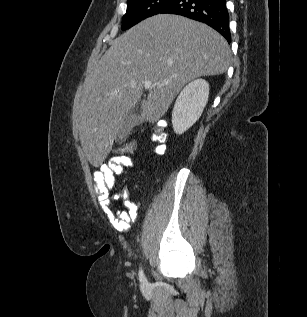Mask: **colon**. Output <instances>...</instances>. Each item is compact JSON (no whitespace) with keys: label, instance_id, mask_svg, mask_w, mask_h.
Returning a JSON list of instances; mask_svg holds the SVG:
<instances>
[{"label":"colon","instance_id":"1","mask_svg":"<svg viewBox=\"0 0 307 317\" xmlns=\"http://www.w3.org/2000/svg\"><path fill=\"white\" fill-rule=\"evenodd\" d=\"M167 123L164 120H159L151 130L152 141L155 143L153 151L157 154H164L166 151V132ZM137 144L135 141H130L116 146L113 152L116 155H131L135 152Z\"/></svg>","mask_w":307,"mask_h":317}]
</instances>
